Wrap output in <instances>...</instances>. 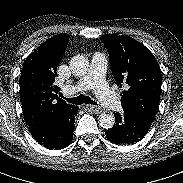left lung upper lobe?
Listing matches in <instances>:
<instances>
[{"instance_id":"1","label":"left lung upper lobe","mask_w":183,"mask_h":183,"mask_svg":"<svg viewBox=\"0 0 183 183\" xmlns=\"http://www.w3.org/2000/svg\"><path fill=\"white\" fill-rule=\"evenodd\" d=\"M100 39L109 52L111 71L117 85L127 86L121 94L123 109L153 121L162 83L157 60L148 48L129 36L106 34Z\"/></svg>"}]
</instances>
